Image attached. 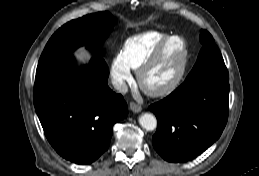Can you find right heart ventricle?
Wrapping results in <instances>:
<instances>
[{
	"label": "right heart ventricle",
	"mask_w": 259,
	"mask_h": 176,
	"mask_svg": "<svg viewBox=\"0 0 259 176\" xmlns=\"http://www.w3.org/2000/svg\"><path fill=\"white\" fill-rule=\"evenodd\" d=\"M168 35L159 30H147L127 38L121 51L125 64L129 69L137 71Z\"/></svg>",
	"instance_id": "1"
}]
</instances>
